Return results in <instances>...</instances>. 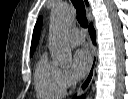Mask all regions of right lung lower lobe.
<instances>
[{
  "mask_svg": "<svg viewBox=\"0 0 128 99\" xmlns=\"http://www.w3.org/2000/svg\"><path fill=\"white\" fill-rule=\"evenodd\" d=\"M89 33L92 38V41L95 43V30H94L92 24H90V26H89ZM80 99H83V96L80 97Z\"/></svg>",
  "mask_w": 128,
  "mask_h": 99,
  "instance_id": "right-lung-lower-lobe-1",
  "label": "right lung lower lobe"
}]
</instances>
